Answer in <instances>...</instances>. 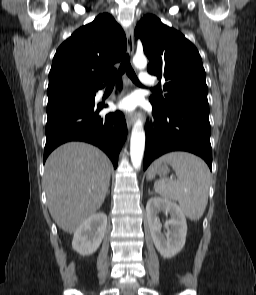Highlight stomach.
I'll use <instances>...</instances> for the list:
<instances>
[{
	"label": "stomach",
	"instance_id": "0dacf381",
	"mask_svg": "<svg viewBox=\"0 0 256 295\" xmlns=\"http://www.w3.org/2000/svg\"><path fill=\"white\" fill-rule=\"evenodd\" d=\"M156 172L160 175H166L168 172H169V168L164 165V164H160L158 167H157V170Z\"/></svg>",
	"mask_w": 256,
	"mask_h": 295
}]
</instances>
